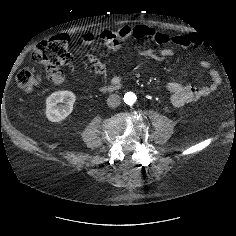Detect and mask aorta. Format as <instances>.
Returning a JSON list of instances; mask_svg holds the SVG:
<instances>
[{
	"mask_svg": "<svg viewBox=\"0 0 236 236\" xmlns=\"http://www.w3.org/2000/svg\"><path fill=\"white\" fill-rule=\"evenodd\" d=\"M137 100V96L133 92H127L124 95V102L128 105H133Z\"/></svg>",
	"mask_w": 236,
	"mask_h": 236,
	"instance_id": "obj_1",
	"label": "aorta"
}]
</instances>
